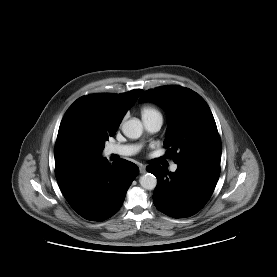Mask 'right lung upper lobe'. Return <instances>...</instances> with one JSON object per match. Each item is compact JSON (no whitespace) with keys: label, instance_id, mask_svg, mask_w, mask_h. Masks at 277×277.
<instances>
[{"label":"right lung upper lobe","instance_id":"1","mask_svg":"<svg viewBox=\"0 0 277 277\" xmlns=\"http://www.w3.org/2000/svg\"><path fill=\"white\" fill-rule=\"evenodd\" d=\"M142 92L136 89L122 94L88 95L76 100L59 127L54 150L56 166L101 158L81 124L85 122L115 134L125 113Z\"/></svg>","mask_w":277,"mask_h":277}]
</instances>
